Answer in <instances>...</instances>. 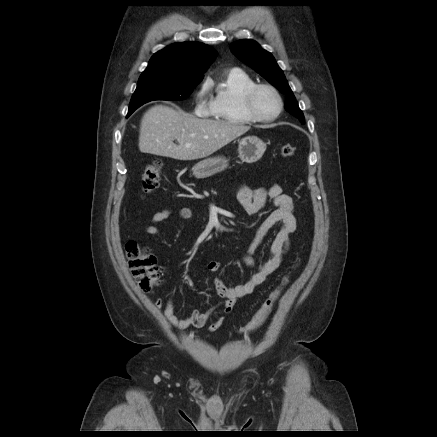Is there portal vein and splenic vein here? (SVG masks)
I'll return each instance as SVG.
<instances>
[{
	"mask_svg": "<svg viewBox=\"0 0 437 437\" xmlns=\"http://www.w3.org/2000/svg\"><path fill=\"white\" fill-rule=\"evenodd\" d=\"M185 146H186V147H188L189 145H188V144H186Z\"/></svg>",
	"mask_w": 437,
	"mask_h": 437,
	"instance_id": "portal-vein-and-splenic-vein-1",
	"label": "portal vein and splenic vein"
}]
</instances>
